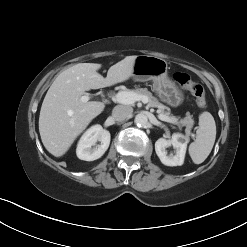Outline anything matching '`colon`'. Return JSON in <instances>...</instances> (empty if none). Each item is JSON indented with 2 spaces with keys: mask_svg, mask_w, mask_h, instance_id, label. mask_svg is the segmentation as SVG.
Listing matches in <instances>:
<instances>
[{
  "mask_svg": "<svg viewBox=\"0 0 247 247\" xmlns=\"http://www.w3.org/2000/svg\"><path fill=\"white\" fill-rule=\"evenodd\" d=\"M174 80L185 90L189 91L192 93L195 97L196 103L199 108H205L207 101H206V96H205V91L203 87L193 81L191 77L183 72H177L174 74Z\"/></svg>",
  "mask_w": 247,
  "mask_h": 247,
  "instance_id": "1",
  "label": "colon"
}]
</instances>
